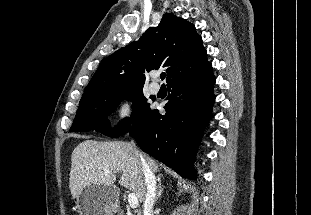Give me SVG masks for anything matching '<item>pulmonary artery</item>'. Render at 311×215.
<instances>
[{"label":"pulmonary artery","mask_w":311,"mask_h":215,"mask_svg":"<svg viewBox=\"0 0 311 215\" xmlns=\"http://www.w3.org/2000/svg\"><path fill=\"white\" fill-rule=\"evenodd\" d=\"M159 89H160V87H159L158 84H156V83H151L150 84V91H151V93L157 94L159 92Z\"/></svg>","instance_id":"pulmonary-artery-1"}]
</instances>
